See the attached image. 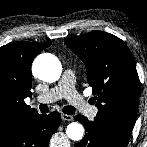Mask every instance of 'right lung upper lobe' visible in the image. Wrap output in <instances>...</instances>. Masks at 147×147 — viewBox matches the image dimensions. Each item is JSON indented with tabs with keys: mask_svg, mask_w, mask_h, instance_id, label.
I'll list each match as a JSON object with an SVG mask.
<instances>
[{
	"mask_svg": "<svg viewBox=\"0 0 147 147\" xmlns=\"http://www.w3.org/2000/svg\"><path fill=\"white\" fill-rule=\"evenodd\" d=\"M50 45L20 41L0 47V136L38 114L24 99L32 95V61Z\"/></svg>",
	"mask_w": 147,
	"mask_h": 147,
	"instance_id": "1",
	"label": "right lung upper lobe"
}]
</instances>
